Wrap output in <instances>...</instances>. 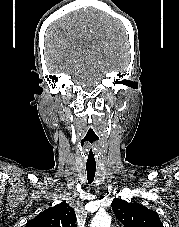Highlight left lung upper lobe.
I'll return each instance as SVG.
<instances>
[{"label": "left lung upper lobe", "instance_id": "left-lung-upper-lobe-1", "mask_svg": "<svg viewBox=\"0 0 179 227\" xmlns=\"http://www.w3.org/2000/svg\"><path fill=\"white\" fill-rule=\"evenodd\" d=\"M111 206L124 227H163L159 215L139 203H128L115 198Z\"/></svg>", "mask_w": 179, "mask_h": 227}]
</instances>
